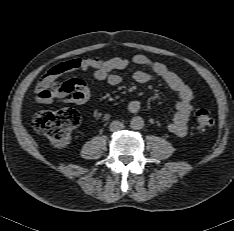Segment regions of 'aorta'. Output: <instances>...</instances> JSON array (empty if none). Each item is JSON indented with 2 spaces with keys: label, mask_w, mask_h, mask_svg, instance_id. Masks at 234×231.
<instances>
[{
  "label": "aorta",
  "mask_w": 234,
  "mask_h": 231,
  "mask_svg": "<svg viewBox=\"0 0 234 231\" xmlns=\"http://www.w3.org/2000/svg\"><path fill=\"white\" fill-rule=\"evenodd\" d=\"M130 127L135 130L142 129L144 127V120L140 116L133 117L130 122Z\"/></svg>",
  "instance_id": "aorta-1"
}]
</instances>
